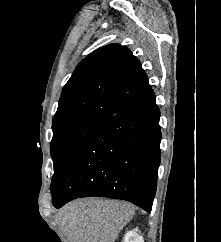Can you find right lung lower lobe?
<instances>
[{"label":"right lung lower lobe","mask_w":221,"mask_h":242,"mask_svg":"<svg viewBox=\"0 0 221 242\" xmlns=\"http://www.w3.org/2000/svg\"><path fill=\"white\" fill-rule=\"evenodd\" d=\"M160 110L151 89L102 121L51 189L55 208L81 197L129 201L151 211L160 164Z\"/></svg>","instance_id":"right-lung-lower-lobe-1"}]
</instances>
